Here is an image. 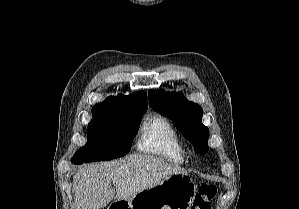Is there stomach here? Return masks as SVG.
<instances>
[{
  "mask_svg": "<svg viewBox=\"0 0 299 209\" xmlns=\"http://www.w3.org/2000/svg\"><path fill=\"white\" fill-rule=\"evenodd\" d=\"M196 189L187 174H172L132 198L114 201L108 209H192Z\"/></svg>",
  "mask_w": 299,
  "mask_h": 209,
  "instance_id": "stomach-1",
  "label": "stomach"
}]
</instances>
